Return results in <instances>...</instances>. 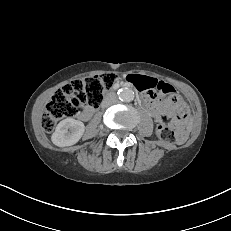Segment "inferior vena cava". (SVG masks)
Returning a JSON list of instances; mask_svg holds the SVG:
<instances>
[{"label":"inferior vena cava","mask_w":231,"mask_h":231,"mask_svg":"<svg viewBox=\"0 0 231 231\" xmlns=\"http://www.w3.org/2000/svg\"><path fill=\"white\" fill-rule=\"evenodd\" d=\"M116 102V95L113 93H110L107 97H106V103L108 105L114 104Z\"/></svg>","instance_id":"602c4592"}]
</instances>
